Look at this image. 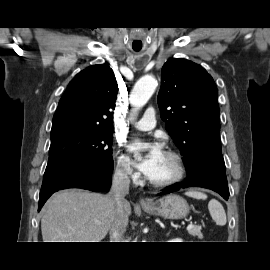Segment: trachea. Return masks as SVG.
I'll list each match as a JSON object with an SVG mask.
<instances>
[{
    "label": "trachea",
    "instance_id": "obj_1",
    "mask_svg": "<svg viewBox=\"0 0 270 270\" xmlns=\"http://www.w3.org/2000/svg\"><path fill=\"white\" fill-rule=\"evenodd\" d=\"M135 51H140V49H134Z\"/></svg>",
    "mask_w": 270,
    "mask_h": 270
}]
</instances>
